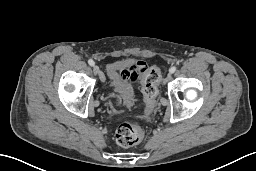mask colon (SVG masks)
Returning a JSON list of instances; mask_svg holds the SVG:
<instances>
[{
  "label": "colon",
  "instance_id": "5ec220e1",
  "mask_svg": "<svg viewBox=\"0 0 256 171\" xmlns=\"http://www.w3.org/2000/svg\"><path fill=\"white\" fill-rule=\"evenodd\" d=\"M160 81V70L151 67L145 71L143 76L142 93L148 106H153L158 93ZM145 136L144 128L137 122H125L119 125L116 130V142L122 147H130L140 143Z\"/></svg>",
  "mask_w": 256,
  "mask_h": 171
}]
</instances>
